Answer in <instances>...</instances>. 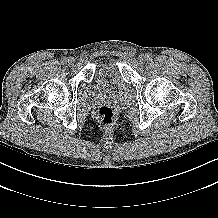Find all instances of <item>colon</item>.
<instances>
[{
    "label": "colon",
    "instance_id": "1",
    "mask_svg": "<svg viewBox=\"0 0 218 218\" xmlns=\"http://www.w3.org/2000/svg\"><path fill=\"white\" fill-rule=\"evenodd\" d=\"M96 120L103 126L111 125L114 114L111 108L108 106H100L94 112Z\"/></svg>",
    "mask_w": 218,
    "mask_h": 218
}]
</instances>
